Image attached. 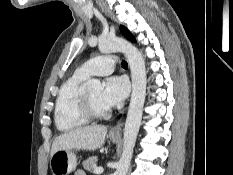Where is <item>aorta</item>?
I'll list each match as a JSON object with an SVG mask.
<instances>
[{"label": "aorta", "instance_id": "aorta-1", "mask_svg": "<svg viewBox=\"0 0 233 175\" xmlns=\"http://www.w3.org/2000/svg\"><path fill=\"white\" fill-rule=\"evenodd\" d=\"M99 51L107 54L122 52L126 56L132 77V94L124 127L123 152L114 175H126L130 166L133 149L141 125L143 106L146 96V68L140 51L122 38L103 39L98 44ZM86 87L100 90L102 85L97 79H90Z\"/></svg>", "mask_w": 233, "mask_h": 175}]
</instances>
